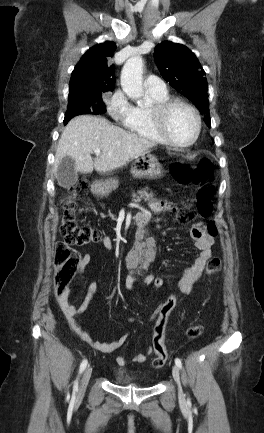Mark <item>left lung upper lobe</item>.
<instances>
[{"label":"left lung upper lobe","mask_w":264,"mask_h":433,"mask_svg":"<svg viewBox=\"0 0 264 433\" xmlns=\"http://www.w3.org/2000/svg\"><path fill=\"white\" fill-rule=\"evenodd\" d=\"M154 56L162 77L194 103L210 128L207 80L194 53L184 45L165 41L157 45Z\"/></svg>","instance_id":"5c2ea615"}]
</instances>
